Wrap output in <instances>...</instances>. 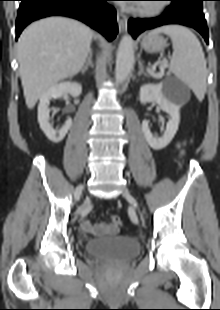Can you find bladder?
Here are the masks:
<instances>
[{
    "instance_id": "31cf9c89",
    "label": "bladder",
    "mask_w": 220,
    "mask_h": 310,
    "mask_svg": "<svg viewBox=\"0 0 220 310\" xmlns=\"http://www.w3.org/2000/svg\"><path fill=\"white\" fill-rule=\"evenodd\" d=\"M85 249L90 256L102 261L126 262L139 255L141 245L128 237L112 236L90 239Z\"/></svg>"
}]
</instances>
